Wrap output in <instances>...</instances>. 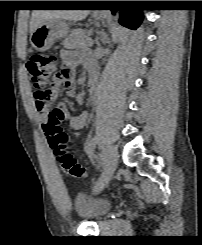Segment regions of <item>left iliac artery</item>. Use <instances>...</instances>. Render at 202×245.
I'll list each match as a JSON object with an SVG mask.
<instances>
[{"label":"left iliac artery","mask_w":202,"mask_h":245,"mask_svg":"<svg viewBox=\"0 0 202 245\" xmlns=\"http://www.w3.org/2000/svg\"><path fill=\"white\" fill-rule=\"evenodd\" d=\"M98 142H99L98 136H94V138L92 139V141H91V143L89 145L88 151H87V154L89 155L90 158L94 157V149L96 148ZM95 185L97 187H99L100 179L95 183Z\"/></svg>","instance_id":"1"}]
</instances>
